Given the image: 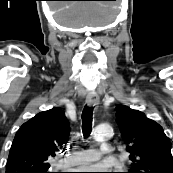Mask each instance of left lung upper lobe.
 Returning a JSON list of instances; mask_svg holds the SVG:
<instances>
[{
	"label": "left lung upper lobe",
	"instance_id": "5c2ea615",
	"mask_svg": "<svg viewBox=\"0 0 173 173\" xmlns=\"http://www.w3.org/2000/svg\"><path fill=\"white\" fill-rule=\"evenodd\" d=\"M115 110L132 161L128 173H173L170 141L163 128L141 111L124 105Z\"/></svg>",
	"mask_w": 173,
	"mask_h": 173
}]
</instances>
